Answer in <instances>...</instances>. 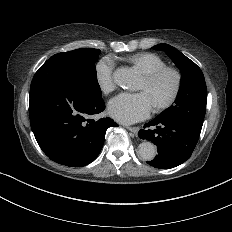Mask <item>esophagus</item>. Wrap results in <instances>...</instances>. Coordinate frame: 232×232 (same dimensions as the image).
Instances as JSON below:
<instances>
[{"label":"esophagus","instance_id":"obj_1","mask_svg":"<svg viewBox=\"0 0 232 232\" xmlns=\"http://www.w3.org/2000/svg\"><path fill=\"white\" fill-rule=\"evenodd\" d=\"M126 128L134 134H137L139 131V127L136 126H127Z\"/></svg>","mask_w":232,"mask_h":232}]
</instances>
